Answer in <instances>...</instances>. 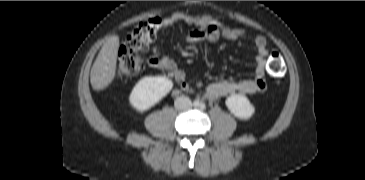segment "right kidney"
Returning <instances> with one entry per match:
<instances>
[{
    "label": "right kidney",
    "instance_id": "obj_1",
    "mask_svg": "<svg viewBox=\"0 0 365 180\" xmlns=\"http://www.w3.org/2000/svg\"><path fill=\"white\" fill-rule=\"evenodd\" d=\"M173 88L166 76H147L138 81L129 96L130 105L138 112H145L157 104Z\"/></svg>",
    "mask_w": 365,
    "mask_h": 180
}]
</instances>
